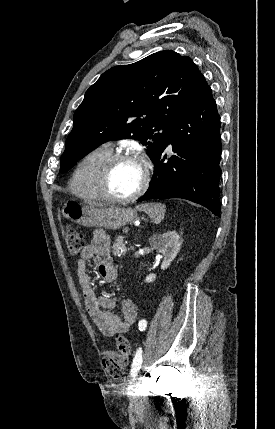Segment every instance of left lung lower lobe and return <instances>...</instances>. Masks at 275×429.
I'll list each match as a JSON object with an SVG mask.
<instances>
[{
    "label": "left lung lower lobe",
    "instance_id": "obj_1",
    "mask_svg": "<svg viewBox=\"0 0 275 429\" xmlns=\"http://www.w3.org/2000/svg\"><path fill=\"white\" fill-rule=\"evenodd\" d=\"M169 144L173 155L166 161L164 150ZM221 150L220 116L201 74L188 105L153 160V180L139 201L183 198L220 216Z\"/></svg>",
    "mask_w": 275,
    "mask_h": 429
}]
</instances>
